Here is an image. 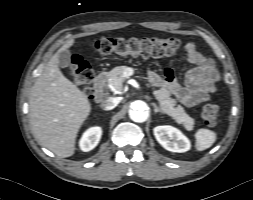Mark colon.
<instances>
[{
  "instance_id": "5ec220e1",
  "label": "colon",
  "mask_w": 253,
  "mask_h": 200,
  "mask_svg": "<svg viewBox=\"0 0 253 200\" xmlns=\"http://www.w3.org/2000/svg\"><path fill=\"white\" fill-rule=\"evenodd\" d=\"M181 47V43L175 38H104L98 43V50L103 54L110 53H141L152 56H172ZM75 78L80 83L88 82L92 77L90 65L83 59L73 61ZM201 116L205 124L214 126L219 117V108L212 103H205L202 107Z\"/></svg>"
}]
</instances>
